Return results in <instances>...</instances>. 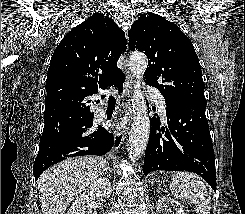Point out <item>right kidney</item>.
Here are the masks:
<instances>
[{
  "mask_svg": "<svg viewBox=\"0 0 245 214\" xmlns=\"http://www.w3.org/2000/svg\"><path fill=\"white\" fill-rule=\"evenodd\" d=\"M111 192V183L107 178H96L91 182L89 189L72 203L67 214H85L86 207L91 211L93 198H109Z\"/></svg>",
  "mask_w": 245,
  "mask_h": 214,
  "instance_id": "right-kidney-1",
  "label": "right kidney"
}]
</instances>
